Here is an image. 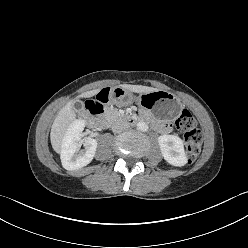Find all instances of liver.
Segmentation results:
<instances>
[{"label": "liver", "instance_id": "6515ba94", "mask_svg": "<svg viewBox=\"0 0 248 248\" xmlns=\"http://www.w3.org/2000/svg\"><path fill=\"white\" fill-rule=\"evenodd\" d=\"M121 87L135 93H150L158 89L142 85L123 84ZM100 90L95 89L87 91L81 97L89 98L96 95ZM76 100L69 101L57 114L51 127L50 140L55 152L61 153L62 141L70 124L75 120L76 113L73 104Z\"/></svg>", "mask_w": 248, "mask_h": 248}]
</instances>
